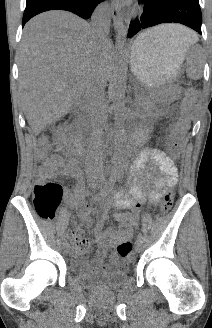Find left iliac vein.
<instances>
[{
  "label": "left iliac vein",
  "instance_id": "1",
  "mask_svg": "<svg viewBox=\"0 0 212 328\" xmlns=\"http://www.w3.org/2000/svg\"><path fill=\"white\" fill-rule=\"evenodd\" d=\"M135 251L136 252H141L143 249V243L140 240H136L135 245H134Z\"/></svg>",
  "mask_w": 212,
  "mask_h": 328
}]
</instances>
